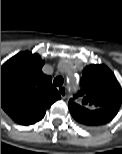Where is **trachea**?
Masks as SVG:
<instances>
[{"mask_svg": "<svg viewBox=\"0 0 122 154\" xmlns=\"http://www.w3.org/2000/svg\"><path fill=\"white\" fill-rule=\"evenodd\" d=\"M64 82V79L62 77H56L53 81V84L55 86H62Z\"/></svg>", "mask_w": 122, "mask_h": 154, "instance_id": "3493384b", "label": "trachea"}]
</instances>
